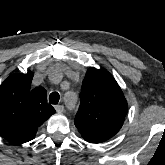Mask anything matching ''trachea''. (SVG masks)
I'll return each mask as SVG.
<instances>
[{
	"label": "trachea",
	"instance_id": "3493384b",
	"mask_svg": "<svg viewBox=\"0 0 165 165\" xmlns=\"http://www.w3.org/2000/svg\"><path fill=\"white\" fill-rule=\"evenodd\" d=\"M59 99H60V96L57 92H52L49 96V102L54 105L58 104Z\"/></svg>",
	"mask_w": 165,
	"mask_h": 165
}]
</instances>
